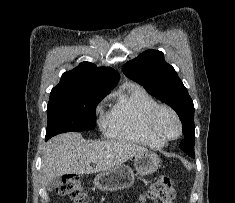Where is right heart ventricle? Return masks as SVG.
<instances>
[{"mask_svg":"<svg viewBox=\"0 0 235 203\" xmlns=\"http://www.w3.org/2000/svg\"><path fill=\"white\" fill-rule=\"evenodd\" d=\"M114 104L106 115L104 126L115 138L135 142L151 148H160L164 142L146 130V118L157 101L142 87L128 85L112 94Z\"/></svg>","mask_w":235,"mask_h":203,"instance_id":"obj_1","label":"right heart ventricle"}]
</instances>
